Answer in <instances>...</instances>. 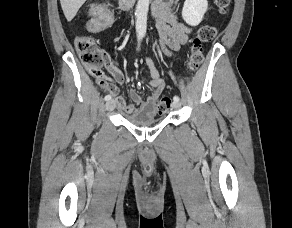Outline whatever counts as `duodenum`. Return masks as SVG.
Wrapping results in <instances>:
<instances>
[{
	"label": "duodenum",
	"instance_id": "obj_1",
	"mask_svg": "<svg viewBox=\"0 0 292 228\" xmlns=\"http://www.w3.org/2000/svg\"><path fill=\"white\" fill-rule=\"evenodd\" d=\"M122 9L127 10L131 7L133 0H118Z\"/></svg>",
	"mask_w": 292,
	"mask_h": 228
}]
</instances>
